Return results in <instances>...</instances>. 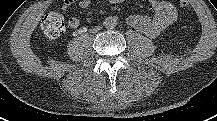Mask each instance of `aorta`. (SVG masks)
<instances>
[{
	"mask_svg": "<svg viewBox=\"0 0 217 121\" xmlns=\"http://www.w3.org/2000/svg\"><path fill=\"white\" fill-rule=\"evenodd\" d=\"M103 25L108 29L114 28L117 25V18L112 16L106 17Z\"/></svg>",
	"mask_w": 217,
	"mask_h": 121,
	"instance_id": "762f6f07",
	"label": "aorta"
}]
</instances>
